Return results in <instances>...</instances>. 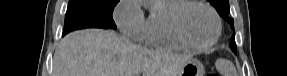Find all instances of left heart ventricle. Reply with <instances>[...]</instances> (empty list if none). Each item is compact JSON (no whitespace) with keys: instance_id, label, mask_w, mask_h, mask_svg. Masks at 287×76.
<instances>
[{"instance_id":"1","label":"left heart ventricle","mask_w":287,"mask_h":76,"mask_svg":"<svg viewBox=\"0 0 287 76\" xmlns=\"http://www.w3.org/2000/svg\"><path fill=\"white\" fill-rule=\"evenodd\" d=\"M181 26L187 38L197 44L210 41L216 31L210 12L199 6H191L184 12Z\"/></svg>"}]
</instances>
